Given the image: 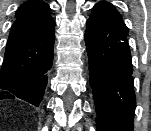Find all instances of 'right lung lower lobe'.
Here are the masks:
<instances>
[{"label":"right lung lower lobe","instance_id":"right-lung-lower-lobe-1","mask_svg":"<svg viewBox=\"0 0 151 131\" xmlns=\"http://www.w3.org/2000/svg\"><path fill=\"white\" fill-rule=\"evenodd\" d=\"M54 52L35 72L9 84H1L0 99L20 98L35 106H39L47 84L49 70L52 66Z\"/></svg>","mask_w":151,"mask_h":131}]
</instances>
